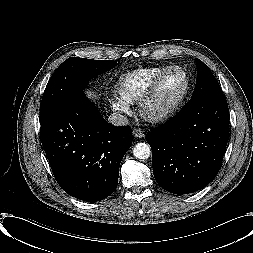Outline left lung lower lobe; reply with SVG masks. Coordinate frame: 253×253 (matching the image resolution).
<instances>
[{"mask_svg":"<svg viewBox=\"0 0 253 253\" xmlns=\"http://www.w3.org/2000/svg\"><path fill=\"white\" fill-rule=\"evenodd\" d=\"M228 139L224 94L204 105L189 101L177 116L146 135L157 183L179 195L204 188L221 168Z\"/></svg>","mask_w":253,"mask_h":253,"instance_id":"1","label":"left lung lower lobe"}]
</instances>
